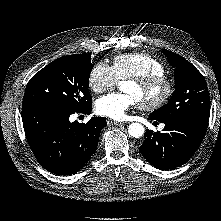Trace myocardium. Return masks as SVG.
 <instances>
[{
	"mask_svg": "<svg viewBox=\"0 0 221 221\" xmlns=\"http://www.w3.org/2000/svg\"><path fill=\"white\" fill-rule=\"evenodd\" d=\"M130 81L143 90L150 89L157 85L163 86V93L156 100L150 102L137 101L138 107L144 111H155L160 109L169 101L174 92V84L165 74L134 77L130 78Z\"/></svg>",
	"mask_w": 221,
	"mask_h": 221,
	"instance_id": "f54148a6",
	"label": "myocardium"
}]
</instances>
